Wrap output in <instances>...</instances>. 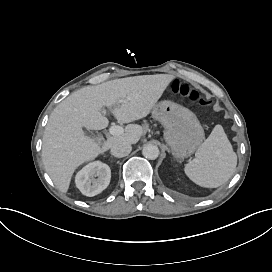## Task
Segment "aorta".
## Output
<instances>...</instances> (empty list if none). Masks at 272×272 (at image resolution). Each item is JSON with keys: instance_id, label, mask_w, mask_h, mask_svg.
Wrapping results in <instances>:
<instances>
[{"instance_id": "aorta-1", "label": "aorta", "mask_w": 272, "mask_h": 272, "mask_svg": "<svg viewBox=\"0 0 272 272\" xmlns=\"http://www.w3.org/2000/svg\"><path fill=\"white\" fill-rule=\"evenodd\" d=\"M142 154L149 160H155L159 156V148L156 145L148 144L143 148Z\"/></svg>"}]
</instances>
